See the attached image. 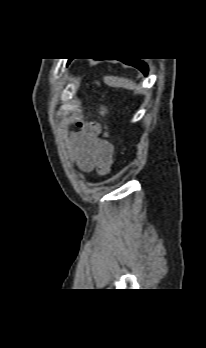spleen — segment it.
I'll list each match as a JSON object with an SVG mask.
<instances>
[{
    "instance_id": "obj_1",
    "label": "spleen",
    "mask_w": 206,
    "mask_h": 348,
    "mask_svg": "<svg viewBox=\"0 0 206 348\" xmlns=\"http://www.w3.org/2000/svg\"><path fill=\"white\" fill-rule=\"evenodd\" d=\"M104 82L110 87L125 88L128 90L139 89L134 81L123 77L107 76L104 78Z\"/></svg>"
}]
</instances>
